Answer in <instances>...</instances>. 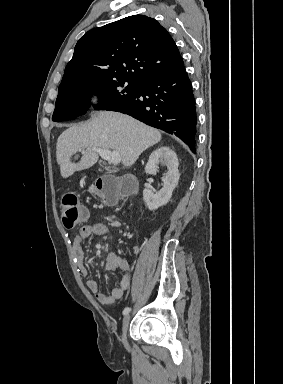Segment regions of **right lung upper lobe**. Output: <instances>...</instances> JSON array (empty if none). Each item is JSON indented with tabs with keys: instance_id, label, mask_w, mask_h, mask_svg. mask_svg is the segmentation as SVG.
<instances>
[{
	"instance_id": "right-lung-upper-lobe-1",
	"label": "right lung upper lobe",
	"mask_w": 283,
	"mask_h": 384,
	"mask_svg": "<svg viewBox=\"0 0 283 384\" xmlns=\"http://www.w3.org/2000/svg\"><path fill=\"white\" fill-rule=\"evenodd\" d=\"M183 66L168 31L153 18L133 15L85 33L59 87L118 79L141 84Z\"/></svg>"
}]
</instances>
